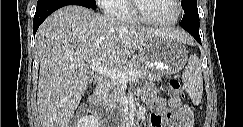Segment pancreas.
<instances>
[{"label": "pancreas", "instance_id": "pancreas-1", "mask_svg": "<svg viewBox=\"0 0 243 127\" xmlns=\"http://www.w3.org/2000/svg\"><path fill=\"white\" fill-rule=\"evenodd\" d=\"M120 70L125 72L126 75H128L131 70H135L137 73L136 78L141 80L147 79L150 75V72L135 60H132L125 66L121 67ZM125 89L126 83H120L110 79L105 84L104 89L100 94L102 104L111 110L120 108L121 99L125 94Z\"/></svg>", "mask_w": 243, "mask_h": 127}]
</instances>
